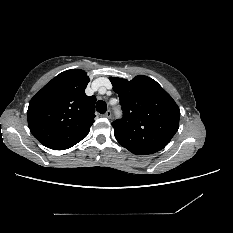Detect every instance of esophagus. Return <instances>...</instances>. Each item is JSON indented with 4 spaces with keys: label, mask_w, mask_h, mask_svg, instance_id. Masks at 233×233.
<instances>
[{
    "label": "esophagus",
    "mask_w": 233,
    "mask_h": 233,
    "mask_svg": "<svg viewBox=\"0 0 233 233\" xmlns=\"http://www.w3.org/2000/svg\"><path fill=\"white\" fill-rule=\"evenodd\" d=\"M103 116L106 118H111L112 112L110 110H108Z\"/></svg>",
    "instance_id": "esophagus-1"
}]
</instances>
